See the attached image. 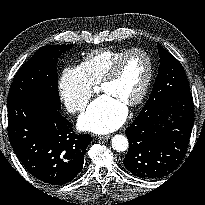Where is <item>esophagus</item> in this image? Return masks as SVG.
<instances>
[{"mask_svg": "<svg viewBox=\"0 0 205 205\" xmlns=\"http://www.w3.org/2000/svg\"><path fill=\"white\" fill-rule=\"evenodd\" d=\"M111 137V135H104V136H100L99 138L101 139V140H107V139H109Z\"/></svg>", "mask_w": 205, "mask_h": 205, "instance_id": "obj_1", "label": "esophagus"}]
</instances>
